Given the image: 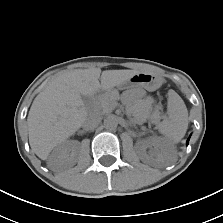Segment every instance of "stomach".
<instances>
[{
    "label": "stomach",
    "mask_w": 223,
    "mask_h": 223,
    "mask_svg": "<svg viewBox=\"0 0 223 223\" xmlns=\"http://www.w3.org/2000/svg\"><path fill=\"white\" fill-rule=\"evenodd\" d=\"M162 85V79L151 73L139 72L133 75L126 83L118 87L120 90L143 88L147 91H155Z\"/></svg>",
    "instance_id": "stomach-1"
}]
</instances>
